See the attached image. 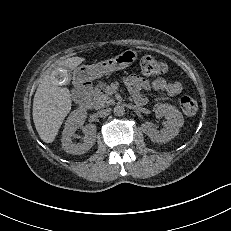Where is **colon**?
Instances as JSON below:
<instances>
[{
    "mask_svg": "<svg viewBox=\"0 0 231 231\" xmlns=\"http://www.w3.org/2000/svg\"><path fill=\"white\" fill-rule=\"evenodd\" d=\"M140 68L142 73L149 77H159L167 71L166 64L152 56H144L140 61ZM180 106L186 115H194L198 108L196 100L190 96H183Z\"/></svg>",
    "mask_w": 231,
    "mask_h": 231,
    "instance_id": "colon-1",
    "label": "colon"
}]
</instances>
